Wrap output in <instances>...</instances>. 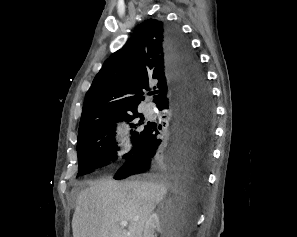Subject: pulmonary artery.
<instances>
[{"label":"pulmonary artery","mask_w":297,"mask_h":237,"mask_svg":"<svg viewBox=\"0 0 297 237\" xmlns=\"http://www.w3.org/2000/svg\"><path fill=\"white\" fill-rule=\"evenodd\" d=\"M146 112H147V114H148L149 116L153 115V113H154V107H153L152 104H148V105L146 106Z\"/></svg>","instance_id":"obj_1"}]
</instances>
